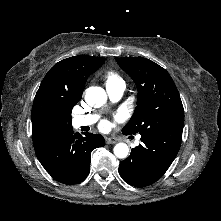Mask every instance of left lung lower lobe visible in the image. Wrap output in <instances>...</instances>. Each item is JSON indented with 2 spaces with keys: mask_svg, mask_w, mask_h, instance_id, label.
<instances>
[{
  "mask_svg": "<svg viewBox=\"0 0 221 221\" xmlns=\"http://www.w3.org/2000/svg\"><path fill=\"white\" fill-rule=\"evenodd\" d=\"M142 145L131 150L120 162L119 174L135 187H145L159 180L176 157L180 144L141 136Z\"/></svg>",
  "mask_w": 221,
  "mask_h": 221,
  "instance_id": "left-lung-lower-lobe-1",
  "label": "left lung lower lobe"
}]
</instances>
